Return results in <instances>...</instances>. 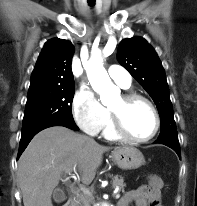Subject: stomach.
Here are the masks:
<instances>
[{
  "mask_svg": "<svg viewBox=\"0 0 197 206\" xmlns=\"http://www.w3.org/2000/svg\"><path fill=\"white\" fill-rule=\"evenodd\" d=\"M112 159L121 169H137L145 164L143 154L134 147L115 149Z\"/></svg>",
  "mask_w": 197,
  "mask_h": 206,
  "instance_id": "stomach-1",
  "label": "stomach"
}]
</instances>
